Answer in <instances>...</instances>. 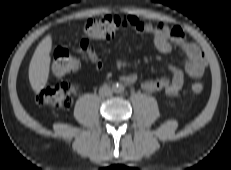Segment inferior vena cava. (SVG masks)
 Returning a JSON list of instances; mask_svg holds the SVG:
<instances>
[{"instance_id":"602c4592","label":"inferior vena cava","mask_w":231,"mask_h":170,"mask_svg":"<svg viewBox=\"0 0 231 170\" xmlns=\"http://www.w3.org/2000/svg\"><path fill=\"white\" fill-rule=\"evenodd\" d=\"M112 93H113V90L107 85L102 86L99 89V94H100V96H103V97H109L112 95Z\"/></svg>"}]
</instances>
